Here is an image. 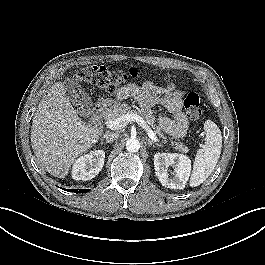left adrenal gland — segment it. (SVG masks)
Listing matches in <instances>:
<instances>
[{
  "label": "left adrenal gland",
  "instance_id": "a2214340",
  "mask_svg": "<svg viewBox=\"0 0 265 265\" xmlns=\"http://www.w3.org/2000/svg\"><path fill=\"white\" fill-rule=\"evenodd\" d=\"M146 142H147L148 147H150L151 145L162 146L161 144L151 141L149 138H146Z\"/></svg>",
  "mask_w": 265,
  "mask_h": 265
}]
</instances>
